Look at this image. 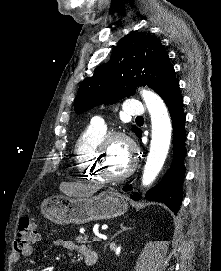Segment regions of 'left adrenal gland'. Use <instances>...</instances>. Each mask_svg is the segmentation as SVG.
<instances>
[{
  "instance_id": "obj_1",
  "label": "left adrenal gland",
  "mask_w": 221,
  "mask_h": 271,
  "mask_svg": "<svg viewBox=\"0 0 221 271\" xmlns=\"http://www.w3.org/2000/svg\"><path fill=\"white\" fill-rule=\"evenodd\" d=\"M120 227H121L120 231H117V233H114L113 237H115V235H118V233H121V231H126V229H131V227H126L124 223H121Z\"/></svg>"
}]
</instances>
